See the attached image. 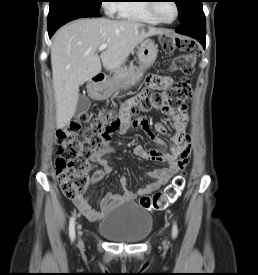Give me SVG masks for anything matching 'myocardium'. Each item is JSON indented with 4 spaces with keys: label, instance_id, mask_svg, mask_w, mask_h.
Returning a JSON list of instances; mask_svg holds the SVG:
<instances>
[{
    "label": "myocardium",
    "instance_id": "f54148a6",
    "mask_svg": "<svg viewBox=\"0 0 258 275\" xmlns=\"http://www.w3.org/2000/svg\"><path fill=\"white\" fill-rule=\"evenodd\" d=\"M150 2H153V3H149L148 4V7H149V11L151 12V14L155 17V19L159 22V23H163V24H171L173 22H175L178 17H179V6L178 4L175 2V1H172V3L174 4V7H175V17L173 20L171 21H166L164 19H162L159 15H158V12H157V4L158 3H155V2H159V1H156V0H152Z\"/></svg>",
    "mask_w": 258,
    "mask_h": 275
}]
</instances>
